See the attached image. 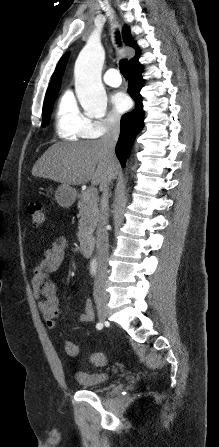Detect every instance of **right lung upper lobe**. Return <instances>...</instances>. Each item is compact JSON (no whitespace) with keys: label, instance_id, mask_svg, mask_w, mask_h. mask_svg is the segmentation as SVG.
<instances>
[{"label":"right lung upper lobe","instance_id":"obj_1","mask_svg":"<svg viewBox=\"0 0 219 447\" xmlns=\"http://www.w3.org/2000/svg\"><path fill=\"white\" fill-rule=\"evenodd\" d=\"M122 35H123L124 43L130 47H133L136 51L135 57L130 60V66L135 65L138 63V56L140 53L139 48L137 47L136 43L132 40V37L130 35V30L127 26L123 28ZM67 56L68 55L65 54L58 62V65H57L55 72L53 74L50 86L47 89L45 99L52 95H56V93L58 92V90L60 88L61 77L63 75V71H64V68L66 65Z\"/></svg>","mask_w":219,"mask_h":447}]
</instances>
